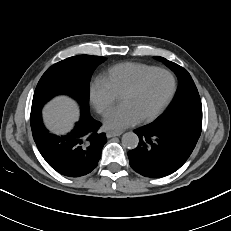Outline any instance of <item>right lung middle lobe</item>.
<instances>
[{
	"label": "right lung middle lobe",
	"mask_w": 231,
	"mask_h": 231,
	"mask_svg": "<svg viewBox=\"0 0 231 231\" xmlns=\"http://www.w3.org/2000/svg\"><path fill=\"white\" fill-rule=\"evenodd\" d=\"M105 59L100 56L78 55L52 65L37 84L31 111L41 109L47 101L59 94L75 98L81 110L89 111V78L95 67Z\"/></svg>",
	"instance_id": "dd1d6c3e"
}]
</instances>
